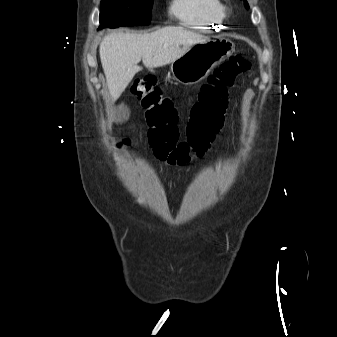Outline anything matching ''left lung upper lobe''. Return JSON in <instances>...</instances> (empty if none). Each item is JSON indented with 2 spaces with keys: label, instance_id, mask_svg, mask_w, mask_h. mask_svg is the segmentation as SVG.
Returning a JSON list of instances; mask_svg holds the SVG:
<instances>
[{
  "label": "left lung upper lobe",
  "instance_id": "1",
  "mask_svg": "<svg viewBox=\"0 0 337 337\" xmlns=\"http://www.w3.org/2000/svg\"><path fill=\"white\" fill-rule=\"evenodd\" d=\"M244 4H245V7L248 9L249 6H248V3L246 2V0H244Z\"/></svg>",
  "mask_w": 337,
  "mask_h": 337
}]
</instances>
